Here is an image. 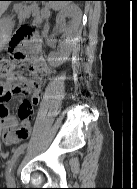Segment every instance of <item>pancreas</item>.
Wrapping results in <instances>:
<instances>
[{
  "label": "pancreas",
  "mask_w": 137,
  "mask_h": 189,
  "mask_svg": "<svg viewBox=\"0 0 137 189\" xmlns=\"http://www.w3.org/2000/svg\"><path fill=\"white\" fill-rule=\"evenodd\" d=\"M16 9L21 10V6L20 5L16 6ZM29 12H30V9L28 7L24 8V10L20 11V13L18 15L19 21H22L23 19L27 18ZM47 14H48V12H43L41 17H46ZM41 17L37 15L36 20L41 21Z\"/></svg>",
  "instance_id": "cf45deb5"
}]
</instances>
